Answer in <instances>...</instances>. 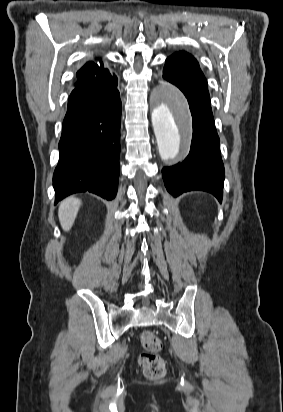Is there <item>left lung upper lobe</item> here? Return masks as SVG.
<instances>
[{
  "mask_svg": "<svg viewBox=\"0 0 283 412\" xmlns=\"http://www.w3.org/2000/svg\"><path fill=\"white\" fill-rule=\"evenodd\" d=\"M178 75L191 76L207 83L197 61L186 52H176L165 61L163 76L176 77Z\"/></svg>",
  "mask_w": 283,
  "mask_h": 412,
  "instance_id": "1",
  "label": "left lung upper lobe"
}]
</instances>
